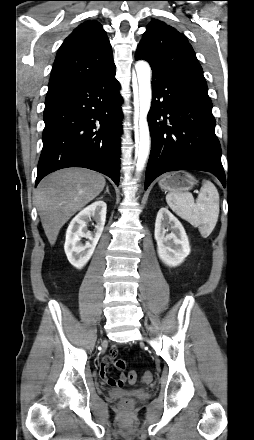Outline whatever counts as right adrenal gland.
<instances>
[{
	"instance_id": "obj_1",
	"label": "right adrenal gland",
	"mask_w": 254,
	"mask_h": 440,
	"mask_svg": "<svg viewBox=\"0 0 254 440\" xmlns=\"http://www.w3.org/2000/svg\"><path fill=\"white\" fill-rule=\"evenodd\" d=\"M106 193H108L109 195H110V192H109V187H108V185L106 186V191L104 192V194H106ZM102 198V197H101Z\"/></svg>"
}]
</instances>
